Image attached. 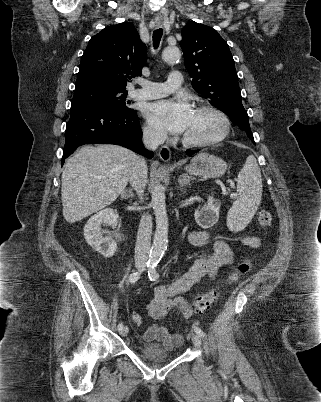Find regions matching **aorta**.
Returning <instances> with one entry per match:
<instances>
[{
  "mask_svg": "<svg viewBox=\"0 0 321 402\" xmlns=\"http://www.w3.org/2000/svg\"><path fill=\"white\" fill-rule=\"evenodd\" d=\"M181 57L177 47H166L162 52V58L166 63L174 64ZM165 193L160 185H156L152 191L151 203L154 210L156 230L153 245L150 250L148 265L154 269L161 260L168 245V216L166 211Z\"/></svg>",
  "mask_w": 321,
  "mask_h": 402,
  "instance_id": "1",
  "label": "aorta"
}]
</instances>
